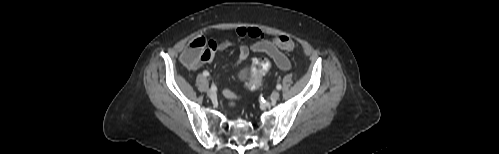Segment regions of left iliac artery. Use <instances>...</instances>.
I'll use <instances>...</instances> for the list:
<instances>
[{"label": "left iliac artery", "mask_w": 499, "mask_h": 154, "mask_svg": "<svg viewBox=\"0 0 499 154\" xmlns=\"http://www.w3.org/2000/svg\"><path fill=\"white\" fill-rule=\"evenodd\" d=\"M276 88H277L278 90H280V89L282 88V86H281L280 84H278V85L276 86Z\"/></svg>", "instance_id": "obj_1"}]
</instances>
